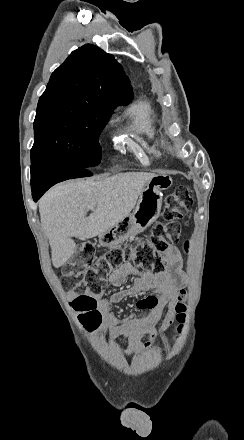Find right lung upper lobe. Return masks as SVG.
Wrapping results in <instances>:
<instances>
[{
    "mask_svg": "<svg viewBox=\"0 0 244 440\" xmlns=\"http://www.w3.org/2000/svg\"><path fill=\"white\" fill-rule=\"evenodd\" d=\"M130 90L129 80L114 56L86 44L53 72L39 102L85 103L113 111L132 100Z\"/></svg>",
    "mask_w": 244,
    "mask_h": 440,
    "instance_id": "1",
    "label": "right lung upper lobe"
}]
</instances>
